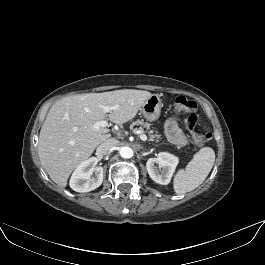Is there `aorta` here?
<instances>
[{
    "label": "aorta",
    "mask_w": 265,
    "mask_h": 265,
    "mask_svg": "<svg viewBox=\"0 0 265 265\" xmlns=\"http://www.w3.org/2000/svg\"><path fill=\"white\" fill-rule=\"evenodd\" d=\"M119 153L123 158H131L133 156V150L127 146L121 147Z\"/></svg>",
    "instance_id": "762f6f07"
}]
</instances>
